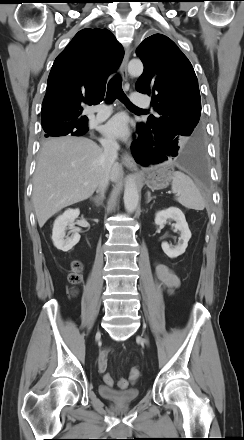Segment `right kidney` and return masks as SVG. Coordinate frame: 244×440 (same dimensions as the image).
Returning <instances> with one entry per match:
<instances>
[{"mask_svg":"<svg viewBox=\"0 0 244 440\" xmlns=\"http://www.w3.org/2000/svg\"><path fill=\"white\" fill-rule=\"evenodd\" d=\"M79 209H68L54 222L52 230V241L54 246L63 252L71 250L80 240V235L75 230V219L79 216ZM69 227L71 237L66 236V229Z\"/></svg>","mask_w":244,"mask_h":440,"instance_id":"ca27d5eb","label":"right kidney"}]
</instances>
